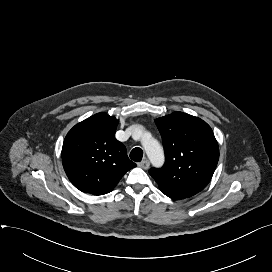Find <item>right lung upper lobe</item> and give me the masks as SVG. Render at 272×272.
I'll return each instance as SVG.
<instances>
[{"label":"right lung upper lobe","mask_w":272,"mask_h":272,"mask_svg":"<svg viewBox=\"0 0 272 272\" xmlns=\"http://www.w3.org/2000/svg\"><path fill=\"white\" fill-rule=\"evenodd\" d=\"M117 125L115 117L98 113L75 125L66 135L62 163L69 180L80 191L109 193L136 166L128 158L125 146L115 138Z\"/></svg>","instance_id":"1"}]
</instances>
